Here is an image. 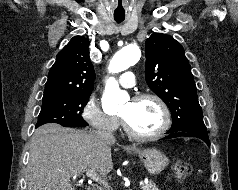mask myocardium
Masks as SVG:
<instances>
[{"label": "myocardium", "instance_id": "f54148a6", "mask_svg": "<svg viewBox=\"0 0 238 190\" xmlns=\"http://www.w3.org/2000/svg\"><path fill=\"white\" fill-rule=\"evenodd\" d=\"M152 100L154 102L157 103V105L159 106V108L161 109L162 112V117H163V122L161 127L155 131L154 133L151 134H141L138 133L136 131H134L131 126L129 125V123L126 121V119L122 116H120L121 118V122H122V126L125 130V132L132 138L136 139V140H140V141H149V140H155L160 138L161 136H163L168 129L170 128L171 125V114H170V110L167 106V104L164 102V100L154 94V93H149V92H141V93H137L135 94L131 100L133 101H141V100Z\"/></svg>", "mask_w": 238, "mask_h": 190}]
</instances>
